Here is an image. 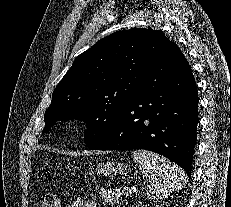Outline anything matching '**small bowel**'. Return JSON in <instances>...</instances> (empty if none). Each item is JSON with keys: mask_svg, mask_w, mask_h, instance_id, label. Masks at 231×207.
<instances>
[{"mask_svg": "<svg viewBox=\"0 0 231 207\" xmlns=\"http://www.w3.org/2000/svg\"><path fill=\"white\" fill-rule=\"evenodd\" d=\"M70 207H96V204L89 199L85 198H76Z\"/></svg>", "mask_w": 231, "mask_h": 207, "instance_id": "obj_1", "label": "small bowel"}]
</instances>
